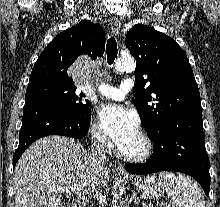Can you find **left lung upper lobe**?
<instances>
[{
	"label": "left lung upper lobe",
	"instance_id": "5c2ea615",
	"mask_svg": "<svg viewBox=\"0 0 220 207\" xmlns=\"http://www.w3.org/2000/svg\"><path fill=\"white\" fill-rule=\"evenodd\" d=\"M125 43L137 61L135 105L148 136L155 135L169 118L201 109L191 65L174 39L138 24L129 30Z\"/></svg>",
	"mask_w": 220,
	"mask_h": 207
}]
</instances>
